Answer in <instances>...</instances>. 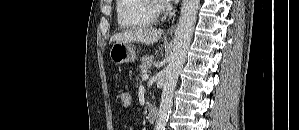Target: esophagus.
Instances as JSON below:
<instances>
[{"label":"esophagus","instance_id":"34e87169","mask_svg":"<svg viewBox=\"0 0 299 130\" xmlns=\"http://www.w3.org/2000/svg\"><path fill=\"white\" fill-rule=\"evenodd\" d=\"M175 27H176V25H175V24H172V25L167 29V33L172 34V33L174 32V30H175Z\"/></svg>","mask_w":299,"mask_h":130}]
</instances>
